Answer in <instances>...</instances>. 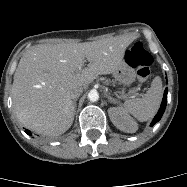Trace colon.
Wrapping results in <instances>:
<instances>
[{
    "label": "colon",
    "mask_w": 187,
    "mask_h": 187,
    "mask_svg": "<svg viewBox=\"0 0 187 187\" xmlns=\"http://www.w3.org/2000/svg\"><path fill=\"white\" fill-rule=\"evenodd\" d=\"M126 60L129 65L137 68L139 82H146L150 76V66L153 58L145 46L141 42L134 43L126 53Z\"/></svg>",
    "instance_id": "1"
}]
</instances>
